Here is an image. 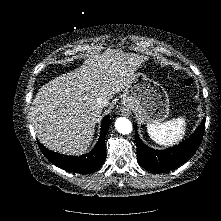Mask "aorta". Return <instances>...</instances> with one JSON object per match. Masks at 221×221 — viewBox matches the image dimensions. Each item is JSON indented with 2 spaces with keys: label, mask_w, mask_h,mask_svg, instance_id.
Here are the masks:
<instances>
[{
  "label": "aorta",
  "mask_w": 221,
  "mask_h": 221,
  "mask_svg": "<svg viewBox=\"0 0 221 221\" xmlns=\"http://www.w3.org/2000/svg\"><path fill=\"white\" fill-rule=\"evenodd\" d=\"M115 127L121 134H129L132 131V123L125 117H119L115 121Z\"/></svg>",
  "instance_id": "762f6f07"
}]
</instances>
